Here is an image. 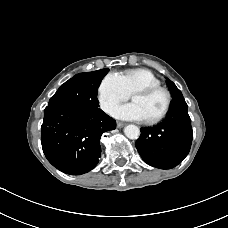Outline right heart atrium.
I'll return each instance as SVG.
<instances>
[{"label":"right heart atrium","instance_id":"right-heart-atrium-1","mask_svg":"<svg viewBox=\"0 0 228 228\" xmlns=\"http://www.w3.org/2000/svg\"><path fill=\"white\" fill-rule=\"evenodd\" d=\"M129 94L124 89L122 80L117 73H109L100 81L97 88V100L100 109L110 113L112 109L122 101H125Z\"/></svg>","mask_w":228,"mask_h":228}]
</instances>
